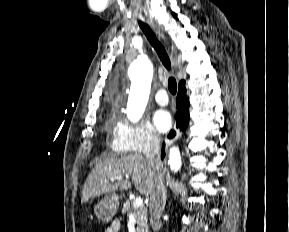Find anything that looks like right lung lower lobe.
<instances>
[{
    "label": "right lung lower lobe",
    "mask_w": 289,
    "mask_h": 232,
    "mask_svg": "<svg viewBox=\"0 0 289 232\" xmlns=\"http://www.w3.org/2000/svg\"><path fill=\"white\" fill-rule=\"evenodd\" d=\"M177 127L181 131H185L189 123V101L186 99V89L185 87L179 88L177 95V113H176ZM175 136V132H170L168 138ZM165 145L163 144L161 157L165 156Z\"/></svg>",
    "instance_id": "1"
}]
</instances>
